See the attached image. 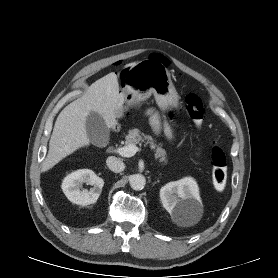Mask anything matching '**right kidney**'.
Returning a JSON list of instances; mask_svg holds the SVG:
<instances>
[{"label":"right kidney","instance_id":"1","mask_svg":"<svg viewBox=\"0 0 278 278\" xmlns=\"http://www.w3.org/2000/svg\"><path fill=\"white\" fill-rule=\"evenodd\" d=\"M83 183L93 185V187L89 191H81ZM103 185L104 180L98 177L92 170L81 169L64 178L62 190L72 203L85 206L97 201Z\"/></svg>","mask_w":278,"mask_h":278}]
</instances>
